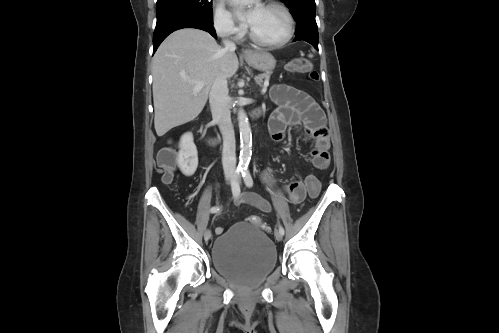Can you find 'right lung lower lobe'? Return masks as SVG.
<instances>
[{"instance_id": "1", "label": "right lung lower lobe", "mask_w": 499, "mask_h": 333, "mask_svg": "<svg viewBox=\"0 0 499 333\" xmlns=\"http://www.w3.org/2000/svg\"><path fill=\"white\" fill-rule=\"evenodd\" d=\"M182 28H197L209 32L214 38H216V32L213 27V21H207L203 19L196 18H176L165 21L159 25H156L155 32L153 35V46L154 51L158 48L160 43L173 31Z\"/></svg>"}]
</instances>
